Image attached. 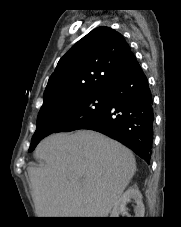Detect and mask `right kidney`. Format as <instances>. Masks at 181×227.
Listing matches in <instances>:
<instances>
[{
  "label": "right kidney",
  "instance_id": "1",
  "mask_svg": "<svg viewBox=\"0 0 181 227\" xmlns=\"http://www.w3.org/2000/svg\"><path fill=\"white\" fill-rule=\"evenodd\" d=\"M133 200L136 204L134 207L135 217H144L145 208L142 201V194L137 186L128 188L115 203L110 217H119L120 214L126 213V204Z\"/></svg>",
  "mask_w": 181,
  "mask_h": 227
}]
</instances>
